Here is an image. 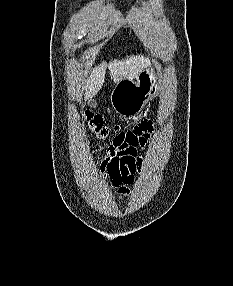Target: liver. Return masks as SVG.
<instances>
[{"instance_id":"liver-1","label":"liver","mask_w":233,"mask_h":286,"mask_svg":"<svg viewBox=\"0 0 233 286\" xmlns=\"http://www.w3.org/2000/svg\"><path fill=\"white\" fill-rule=\"evenodd\" d=\"M149 65L150 59L143 55L127 56L123 60L115 59L108 64L101 63L92 70L89 78L85 81L83 86L84 98H93L102 88L107 67L114 82L118 83L122 79L137 78L139 73Z\"/></svg>"}]
</instances>
